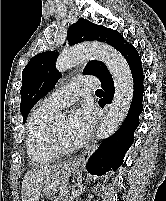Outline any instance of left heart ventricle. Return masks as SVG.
Segmentation results:
<instances>
[{"label":"left heart ventricle","instance_id":"1","mask_svg":"<svg viewBox=\"0 0 166 201\" xmlns=\"http://www.w3.org/2000/svg\"><path fill=\"white\" fill-rule=\"evenodd\" d=\"M55 125L61 141L67 146H75L68 132V121L58 119L55 121Z\"/></svg>","mask_w":166,"mask_h":201}]
</instances>
